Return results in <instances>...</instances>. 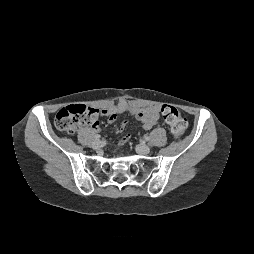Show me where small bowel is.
<instances>
[{
  "instance_id": "obj_1",
  "label": "small bowel",
  "mask_w": 254,
  "mask_h": 254,
  "mask_svg": "<svg viewBox=\"0 0 254 254\" xmlns=\"http://www.w3.org/2000/svg\"><path fill=\"white\" fill-rule=\"evenodd\" d=\"M98 112L107 118V121L112 123L117 117L124 113H129L137 120L141 122L142 128L145 130L151 129L153 126L159 123L160 114L158 107L156 106H142L136 103H128L124 100L119 101L117 104L98 110ZM126 122H122L120 128L123 129ZM92 128L95 131H99L100 125L96 120L92 123ZM127 138L123 139L126 140Z\"/></svg>"
}]
</instances>
